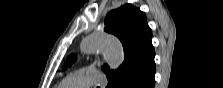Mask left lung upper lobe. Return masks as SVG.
Masks as SVG:
<instances>
[{
	"label": "left lung upper lobe",
	"mask_w": 223,
	"mask_h": 88,
	"mask_svg": "<svg viewBox=\"0 0 223 88\" xmlns=\"http://www.w3.org/2000/svg\"><path fill=\"white\" fill-rule=\"evenodd\" d=\"M104 30L114 34L122 42L124 48V62L116 71H109L105 64L102 69L107 73L111 85L128 76L132 72L143 70L152 60L155 51L151 43L152 32L146 17L139 8L126 4L109 12L105 18ZM76 57L70 55L64 68L70 66Z\"/></svg>",
	"instance_id": "left-lung-upper-lobe-1"
}]
</instances>
